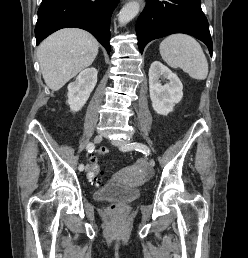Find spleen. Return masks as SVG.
<instances>
[{"label": "spleen", "mask_w": 248, "mask_h": 258, "mask_svg": "<svg viewBox=\"0 0 248 258\" xmlns=\"http://www.w3.org/2000/svg\"><path fill=\"white\" fill-rule=\"evenodd\" d=\"M160 55L172 68H181L196 80L208 75V62L200 44L190 35L172 34L159 46Z\"/></svg>", "instance_id": "3e777b00"}]
</instances>
